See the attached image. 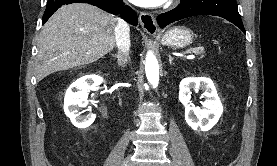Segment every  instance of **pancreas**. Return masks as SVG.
I'll return each instance as SVG.
<instances>
[{
	"mask_svg": "<svg viewBox=\"0 0 277 166\" xmlns=\"http://www.w3.org/2000/svg\"><path fill=\"white\" fill-rule=\"evenodd\" d=\"M188 52H193L197 55H201L203 57L204 54V48L203 47H196V48H191L188 50Z\"/></svg>",
	"mask_w": 277,
	"mask_h": 166,
	"instance_id": "cf45deb5",
	"label": "pancreas"
}]
</instances>
